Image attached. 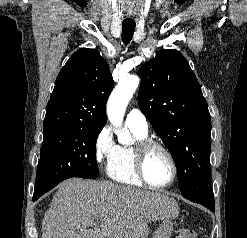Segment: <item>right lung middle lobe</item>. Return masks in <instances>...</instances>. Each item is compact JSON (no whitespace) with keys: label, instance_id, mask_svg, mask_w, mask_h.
<instances>
[{"label":"right lung middle lobe","instance_id":"dd1d6c3e","mask_svg":"<svg viewBox=\"0 0 247 238\" xmlns=\"http://www.w3.org/2000/svg\"><path fill=\"white\" fill-rule=\"evenodd\" d=\"M103 126L79 125L44 132L33 197L71 177L95 179V146Z\"/></svg>","mask_w":247,"mask_h":238}]
</instances>
